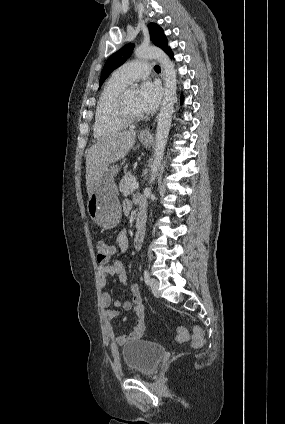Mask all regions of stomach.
<instances>
[{"instance_id":"stomach-1","label":"stomach","mask_w":285,"mask_h":424,"mask_svg":"<svg viewBox=\"0 0 285 424\" xmlns=\"http://www.w3.org/2000/svg\"><path fill=\"white\" fill-rule=\"evenodd\" d=\"M143 145L148 146L149 138H140ZM119 167L111 166L100 183L88 197L87 211L91 219L103 229L116 227L121 220V205L118 198V188L114 176Z\"/></svg>"}]
</instances>
